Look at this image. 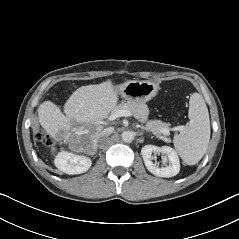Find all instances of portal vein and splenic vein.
I'll use <instances>...</instances> for the list:
<instances>
[{"mask_svg":"<svg viewBox=\"0 0 239 239\" xmlns=\"http://www.w3.org/2000/svg\"><path fill=\"white\" fill-rule=\"evenodd\" d=\"M133 114L128 111V110H117L115 113H113L111 116H110V120H114L118 117H131ZM163 133L165 134H169V130L168 129H163Z\"/></svg>","mask_w":239,"mask_h":239,"instance_id":"obj_1","label":"portal vein and splenic vein"}]
</instances>
